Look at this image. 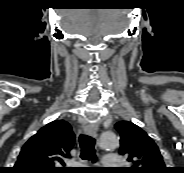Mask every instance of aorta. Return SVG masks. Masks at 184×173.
Masks as SVG:
<instances>
[{
    "label": "aorta",
    "instance_id": "1",
    "mask_svg": "<svg viewBox=\"0 0 184 173\" xmlns=\"http://www.w3.org/2000/svg\"><path fill=\"white\" fill-rule=\"evenodd\" d=\"M99 145L104 150H113L119 145V140L114 132H104L100 136Z\"/></svg>",
    "mask_w": 184,
    "mask_h": 173
}]
</instances>
